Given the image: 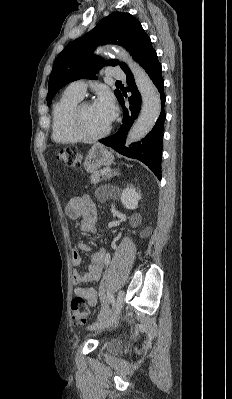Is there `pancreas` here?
Returning <instances> with one entry per match:
<instances>
[{"instance_id": "1", "label": "pancreas", "mask_w": 232, "mask_h": 399, "mask_svg": "<svg viewBox=\"0 0 232 399\" xmlns=\"http://www.w3.org/2000/svg\"><path fill=\"white\" fill-rule=\"evenodd\" d=\"M103 176V174H100V172H91V178H90V182L91 184H98V182H101V177Z\"/></svg>"}]
</instances>
